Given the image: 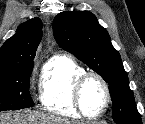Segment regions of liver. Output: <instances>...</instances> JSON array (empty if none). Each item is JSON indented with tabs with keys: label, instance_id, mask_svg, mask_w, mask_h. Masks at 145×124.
Wrapping results in <instances>:
<instances>
[{
	"label": "liver",
	"instance_id": "1",
	"mask_svg": "<svg viewBox=\"0 0 145 124\" xmlns=\"http://www.w3.org/2000/svg\"><path fill=\"white\" fill-rule=\"evenodd\" d=\"M0 124H73L53 115L24 111L23 113L0 114Z\"/></svg>",
	"mask_w": 145,
	"mask_h": 124
}]
</instances>
